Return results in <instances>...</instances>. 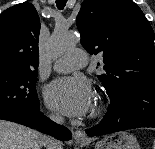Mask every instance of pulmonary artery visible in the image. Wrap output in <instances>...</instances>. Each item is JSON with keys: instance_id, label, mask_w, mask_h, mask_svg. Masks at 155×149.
<instances>
[{"instance_id": "1", "label": "pulmonary artery", "mask_w": 155, "mask_h": 149, "mask_svg": "<svg viewBox=\"0 0 155 149\" xmlns=\"http://www.w3.org/2000/svg\"><path fill=\"white\" fill-rule=\"evenodd\" d=\"M87 63V54L82 49L70 50L66 55L59 58L53 65L57 72H70L74 69L85 66Z\"/></svg>"}]
</instances>
